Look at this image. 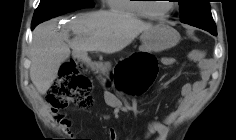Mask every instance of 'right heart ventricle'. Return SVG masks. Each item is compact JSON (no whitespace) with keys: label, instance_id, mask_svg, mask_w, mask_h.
<instances>
[{"label":"right heart ventricle","instance_id":"right-heart-ventricle-1","mask_svg":"<svg viewBox=\"0 0 236 140\" xmlns=\"http://www.w3.org/2000/svg\"><path fill=\"white\" fill-rule=\"evenodd\" d=\"M138 0H108L110 9L117 13H125L132 16H144L141 6L135 3Z\"/></svg>","mask_w":236,"mask_h":140}]
</instances>
